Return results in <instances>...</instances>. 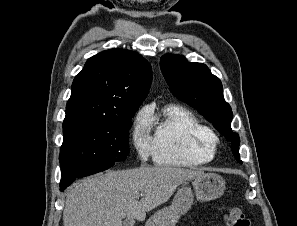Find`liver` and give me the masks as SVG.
<instances>
[{"label":"liver","instance_id":"1","mask_svg":"<svg viewBox=\"0 0 297 226\" xmlns=\"http://www.w3.org/2000/svg\"><path fill=\"white\" fill-rule=\"evenodd\" d=\"M203 175V171L158 166L88 177L68 193L63 224L122 226L124 218L144 221L146 213L167 202L180 184Z\"/></svg>","mask_w":297,"mask_h":226}]
</instances>
